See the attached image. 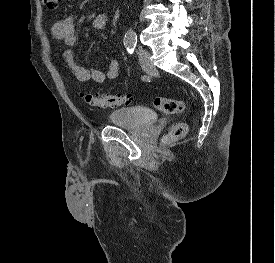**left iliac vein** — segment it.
<instances>
[{
    "label": "left iliac vein",
    "mask_w": 275,
    "mask_h": 263,
    "mask_svg": "<svg viewBox=\"0 0 275 263\" xmlns=\"http://www.w3.org/2000/svg\"><path fill=\"white\" fill-rule=\"evenodd\" d=\"M139 62L144 71L149 73L155 70V67L150 59V52L144 48L139 49Z\"/></svg>",
    "instance_id": "obj_1"
}]
</instances>
